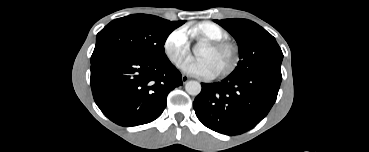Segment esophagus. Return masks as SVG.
<instances>
[{
    "mask_svg": "<svg viewBox=\"0 0 369 152\" xmlns=\"http://www.w3.org/2000/svg\"><path fill=\"white\" fill-rule=\"evenodd\" d=\"M181 79H182L183 84H185V83L188 82L189 77L187 75H182V78Z\"/></svg>",
    "mask_w": 369,
    "mask_h": 152,
    "instance_id": "1",
    "label": "esophagus"
}]
</instances>
